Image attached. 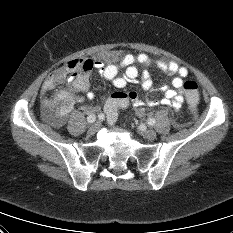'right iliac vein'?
Wrapping results in <instances>:
<instances>
[{
	"mask_svg": "<svg viewBox=\"0 0 233 233\" xmlns=\"http://www.w3.org/2000/svg\"><path fill=\"white\" fill-rule=\"evenodd\" d=\"M99 123H95V124H93L89 129H88V134L89 135H94L96 132H97V130L99 129Z\"/></svg>",
	"mask_w": 233,
	"mask_h": 233,
	"instance_id": "right-iliac-vein-1",
	"label": "right iliac vein"
}]
</instances>
